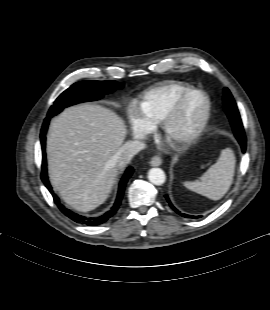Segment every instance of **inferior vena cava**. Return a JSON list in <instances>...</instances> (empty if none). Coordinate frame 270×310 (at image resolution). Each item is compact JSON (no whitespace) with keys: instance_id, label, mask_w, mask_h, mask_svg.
<instances>
[{"instance_id":"1","label":"inferior vena cava","mask_w":270,"mask_h":310,"mask_svg":"<svg viewBox=\"0 0 270 310\" xmlns=\"http://www.w3.org/2000/svg\"><path fill=\"white\" fill-rule=\"evenodd\" d=\"M145 146V143L139 140L127 141L118 149L111 161L118 168H123L130 163L133 156L144 149Z\"/></svg>"}]
</instances>
